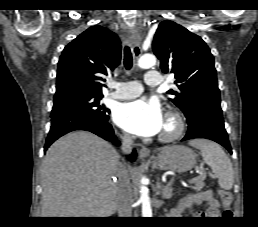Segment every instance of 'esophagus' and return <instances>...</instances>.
Listing matches in <instances>:
<instances>
[{
    "label": "esophagus",
    "mask_w": 258,
    "mask_h": 227,
    "mask_svg": "<svg viewBox=\"0 0 258 227\" xmlns=\"http://www.w3.org/2000/svg\"><path fill=\"white\" fill-rule=\"evenodd\" d=\"M140 40L141 37L140 35L132 30L129 33V42L132 46L133 53L136 57L140 55ZM150 155V150L147 147H142L139 151V157L140 159L144 160Z\"/></svg>",
    "instance_id": "obj_1"
}]
</instances>
